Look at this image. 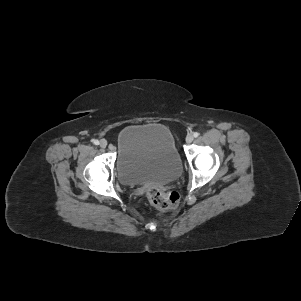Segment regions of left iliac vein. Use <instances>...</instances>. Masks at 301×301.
Masks as SVG:
<instances>
[{"label": "left iliac vein", "mask_w": 301, "mask_h": 301, "mask_svg": "<svg viewBox=\"0 0 301 301\" xmlns=\"http://www.w3.org/2000/svg\"><path fill=\"white\" fill-rule=\"evenodd\" d=\"M193 139H194L193 134H191V133L187 134V136H186L187 143H191L193 141Z\"/></svg>", "instance_id": "4c4485c4"}]
</instances>
